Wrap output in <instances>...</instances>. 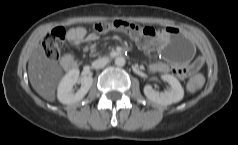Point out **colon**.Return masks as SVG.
Segmentation results:
<instances>
[{"mask_svg": "<svg viewBox=\"0 0 238 145\" xmlns=\"http://www.w3.org/2000/svg\"><path fill=\"white\" fill-rule=\"evenodd\" d=\"M123 32L134 38L140 47L145 50H152L158 37L162 34L161 30L151 26H143L134 22L117 19L112 22L97 23L94 26L96 34L108 32ZM66 40V31L62 27L52 29L46 34L43 40L44 54L47 59L55 61L60 57ZM204 78L202 75H195L188 83L192 91H196L203 86Z\"/></svg>", "mask_w": 238, "mask_h": 145, "instance_id": "colon-1", "label": "colon"}]
</instances>
